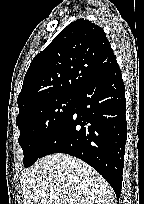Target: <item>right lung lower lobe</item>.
Instances as JSON below:
<instances>
[{
  "mask_svg": "<svg viewBox=\"0 0 144 204\" xmlns=\"http://www.w3.org/2000/svg\"><path fill=\"white\" fill-rule=\"evenodd\" d=\"M125 88L118 64L76 96L66 120L46 144L52 153L75 156L98 171L120 197L127 138Z\"/></svg>",
  "mask_w": 144,
  "mask_h": 204,
  "instance_id": "98d812e1",
  "label": "right lung lower lobe"
}]
</instances>
